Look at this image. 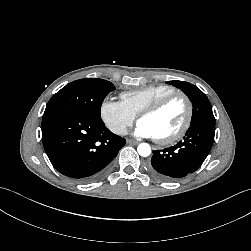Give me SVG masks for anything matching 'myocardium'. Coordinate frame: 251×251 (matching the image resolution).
Returning <instances> with one entry per match:
<instances>
[{"instance_id":"f54148a6","label":"myocardium","mask_w":251,"mask_h":251,"mask_svg":"<svg viewBox=\"0 0 251 251\" xmlns=\"http://www.w3.org/2000/svg\"><path fill=\"white\" fill-rule=\"evenodd\" d=\"M176 98H181L184 100L186 107H187L186 117H185V120H184L182 126L175 133H173L172 135L167 136V137L156 138V141L161 145H168V144H172V143L177 142L189 130L191 123H192V118H193V103H192L190 97L186 93L177 90V91L161 98L160 100H158L157 102H155L151 106L147 107L138 116V120H140L143 117L154 115V114L160 112L163 108H165L170 102H172Z\"/></svg>"}]
</instances>
